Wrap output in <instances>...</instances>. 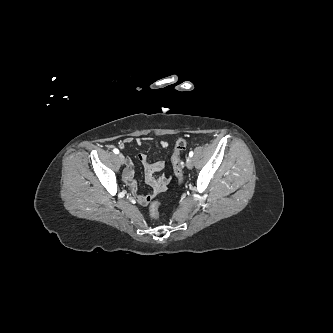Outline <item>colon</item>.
Masks as SVG:
<instances>
[{
	"mask_svg": "<svg viewBox=\"0 0 333 333\" xmlns=\"http://www.w3.org/2000/svg\"><path fill=\"white\" fill-rule=\"evenodd\" d=\"M187 142L183 138H179L176 140L174 145V152L171 157L172 165L174 174L178 180V183L181 185L184 181V174H183V165L180 158L181 152L185 149ZM159 201H153L149 206V213L153 219H158L159 217Z\"/></svg>",
	"mask_w": 333,
	"mask_h": 333,
	"instance_id": "colon-1",
	"label": "colon"
}]
</instances>
